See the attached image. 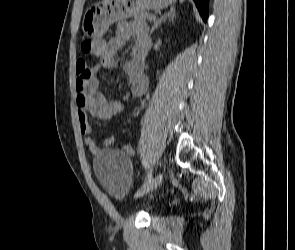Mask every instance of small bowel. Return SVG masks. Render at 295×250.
<instances>
[{"label": "small bowel", "mask_w": 295, "mask_h": 250, "mask_svg": "<svg viewBox=\"0 0 295 250\" xmlns=\"http://www.w3.org/2000/svg\"><path fill=\"white\" fill-rule=\"evenodd\" d=\"M130 38H134L131 57L119 60L117 53L123 44ZM150 47V39L146 30L131 23H121L117 26L116 34L109 41L100 40L99 48L92 55L100 58L97 66L90 67L88 63L79 59L76 63V104L78 121L81 134L85 136V145L93 154H97L101 147L91 138L92 125L90 117L98 120H110L123 110V104L117 100L107 99L98 90V73L103 69H121L126 75L134 97L145 94L149 79L144 73V60ZM114 143V137L109 136L104 140L105 146ZM128 155H133L134 150L130 146L123 148Z\"/></svg>", "instance_id": "1"}]
</instances>
